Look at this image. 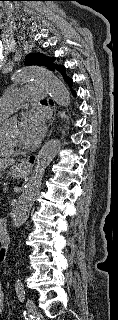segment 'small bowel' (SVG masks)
Wrapping results in <instances>:
<instances>
[{"label": "small bowel", "instance_id": "obj_1", "mask_svg": "<svg viewBox=\"0 0 118 320\" xmlns=\"http://www.w3.org/2000/svg\"><path fill=\"white\" fill-rule=\"evenodd\" d=\"M4 303H5V297H4V293L2 290V282L0 281V315L4 311Z\"/></svg>", "mask_w": 118, "mask_h": 320}]
</instances>
